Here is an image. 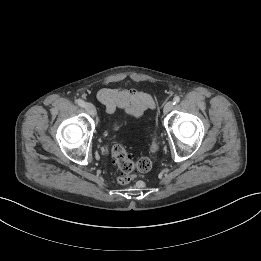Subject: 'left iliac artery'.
<instances>
[{"mask_svg":"<svg viewBox=\"0 0 261 261\" xmlns=\"http://www.w3.org/2000/svg\"><path fill=\"white\" fill-rule=\"evenodd\" d=\"M179 101H180V97L175 96L174 99H173V104L175 105V104L179 103Z\"/></svg>","mask_w":261,"mask_h":261,"instance_id":"obj_1","label":"left iliac artery"}]
</instances>
